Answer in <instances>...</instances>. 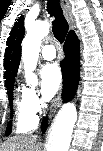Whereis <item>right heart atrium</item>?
<instances>
[{
    "mask_svg": "<svg viewBox=\"0 0 103 151\" xmlns=\"http://www.w3.org/2000/svg\"><path fill=\"white\" fill-rule=\"evenodd\" d=\"M21 97L27 112L34 118H37L42 111L43 103L36 90L24 86L21 90Z\"/></svg>",
    "mask_w": 103,
    "mask_h": 151,
    "instance_id": "1",
    "label": "right heart atrium"
}]
</instances>
